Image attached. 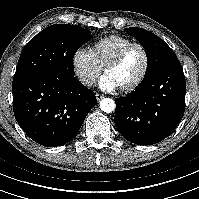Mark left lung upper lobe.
I'll list each match as a JSON object with an SVG mask.
<instances>
[{
  "mask_svg": "<svg viewBox=\"0 0 199 199\" xmlns=\"http://www.w3.org/2000/svg\"><path fill=\"white\" fill-rule=\"evenodd\" d=\"M127 32L137 38L146 51L148 66L144 79L165 65L178 61L174 51L154 33L136 27L128 28Z\"/></svg>",
  "mask_w": 199,
  "mask_h": 199,
  "instance_id": "left-lung-upper-lobe-1",
  "label": "left lung upper lobe"
}]
</instances>
